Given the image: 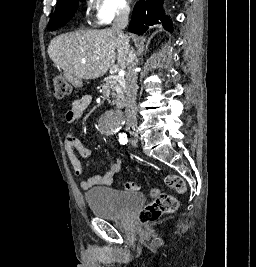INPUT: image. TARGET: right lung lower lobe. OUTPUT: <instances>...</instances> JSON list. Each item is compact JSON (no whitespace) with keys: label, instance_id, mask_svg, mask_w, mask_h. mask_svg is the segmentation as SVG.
I'll use <instances>...</instances> for the list:
<instances>
[{"label":"right lung lower lobe","instance_id":"right-lung-lower-lobe-1","mask_svg":"<svg viewBox=\"0 0 256 267\" xmlns=\"http://www.w3.org/2000/svg\"><path fill=\"white\" fill-rule=\"evenodd\" d=\"M162 2L163 0H140L137 2L129 24V31L142 34L148 29V26L158 23V19L161 20L166 30L172 31L171 20L164 15Z\"/></svg>","mask_w":256,"mask_h":267}]
</instances>
